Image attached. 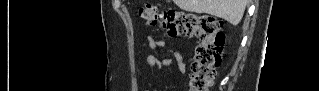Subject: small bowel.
Wrapping results in <instances>:
<instances>
[{"label": "small bowel", "instance_id": "c3829d8e", "mask_svg": "<svg viewBox=\"0 0 319 91\" xmlns=\"http://www.w3.org/2000/svg\"><path fill=\"white\" fill-rule=\"evenodd\" d=\"M148 45L152 50H164L167 57L159 60L155 55H148L145 64L149 68H159L162 66H175L179 73L186 71L183 54L171 48L167 41L148 37Z\"/></svg>", "mask_w": 319, "mask_h": 91}]
</instances>
